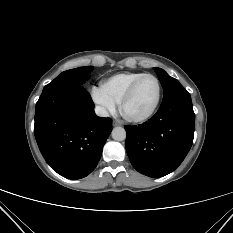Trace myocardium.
Listing matches in <instances>:
<instances>
[{
    "label": "myocardium",
    "instance_id": "myocardium-1",
    "mask_svg": "<svg viewBox=\"0 0 233 233\" xmlns=\"http://www.w3.org/2000/svg\"><path fill=\"white\" fill-rule=\"evenodd\" d=\"M145 78H152L156 82V85H157V97H156L155 103L152 106V108L147 113H145L143 115H139V116L129 115V114H127V112L125 110L126 105L129 102V100L133 97V95H134V93H135V91H136L139 83L142 80H144ZM161 93H162V87H161L160 80L155 75H153V74H149V73L143 74L142 76H140L139 78H137L130 85V87L128 88V90L126 91L125 95L123 96V98L121 100V108H122V110L124 111L125 115L127 116V118L130 121L137 122V123L146 122L149 119H151L154 116V114L156 113V111H157V109L159 107L160 101H161Z\"/></svg>",
    "mask_w": 233,
    "mask_h": 233
}]
</instances>
